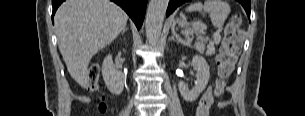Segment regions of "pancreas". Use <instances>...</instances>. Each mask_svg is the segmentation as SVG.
<instances>
[{
    "label": "pancreas",
    "mask_w": 305,
    "mask_h": 116,
    "mask_svg": "<svg viewBox=\"0 0 305 116\" xmlns=\"http://www.w3.org/2000/svg\"><path fill=\"white\" fill-rule=\"evenodd\" d=\"M207 41H208L207 38H205V37H203V36H200V37L197 39L196 43L194 44V48H195L197 51L203 53L204 50H205V44L207 43Z\"/></svg>",
    "instance_id": "obj_1"
}]
</instances>
